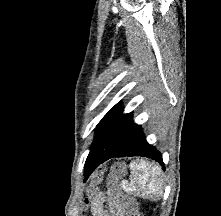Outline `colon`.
I'll use <instances>...</instances> for the list:
<instances>
[{"mask_svg": "<svg viewBox=\"0 0 221 216\" xmlns=\"http://www.w3.org/2000/svg\"><path fill=\"white\" fill-rule=\"evenodd\" d=\"M121 169H117L113 176L108 179L107 182V194L117 205L118 210L122 216H141L138 210L137 201L130 195L123 193L120 189V186L117 183L116 177L120 174ZM100 180V177H97L94 180L92 185V190L90 192V199L88 203H95L99 199V192L97 184Z\"/></svg>", "mask_w": 221, "mask_h": 216, "instance_id": "obj_1", "label": "colon"}]
</instances>
